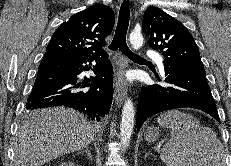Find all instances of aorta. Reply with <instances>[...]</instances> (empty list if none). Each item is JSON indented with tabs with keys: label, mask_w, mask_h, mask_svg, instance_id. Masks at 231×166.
I'll return each instance as SVG.
<instances>
[{
	"label": "aorta",
	"mask_w": 231,
	"mask_h": 166,
	"mask_svg": "<svg viewBox=\"0 0 231 166\" xmlns=\"http://www.w3.org/2000/svg\"><path fill=\"white\" fill-rule=\"evenodd\" d=\"M130 43L134 50H138L143 45V36L138 31H133L130 34ZM134 119H135V111L134 105L131 99L127 98L124 103L122 110V117L120 123V136H121V144L125 149L128 147L134 127Z\"/></svg>",
	"instance_id": "obj_1"
}]
</instances>
